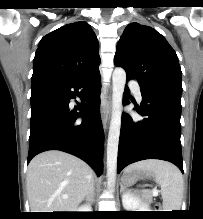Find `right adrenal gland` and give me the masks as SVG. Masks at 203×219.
Wrapping results in <instances>:
<instances>
[{
	"label": "right adrenal gland",
	"mask_w": 203,
	"mask_h": 219,
	"mask_svg": "<svg viewBox=\"0 0 203 219\" xmlns=\"http://www.w3.org/2000/svg\"><path fill=\"white\" fill-rule=\"evenodd\" d=\"M85 200L89 203L92 204L94 202V192L91 193V196H86Z\"/></svg>",
	"instance_id": "obj_1"
}]
</instances>
